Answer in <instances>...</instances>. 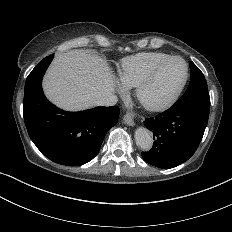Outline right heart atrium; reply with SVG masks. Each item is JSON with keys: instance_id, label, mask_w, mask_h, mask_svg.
<instances>
[{"instance_id": "obj_1", "label": "right heart atrium", "mask_w": 232, "mask_h": 232, "mask_svg": "<svg viewBox=\"0 0 232 232\" xmlns=\"http://www.w3.org/2000/svg\"><path fill=\"white\" fill-rule=\"evenodd\" d=\"M118 88H121L120 86H118ZM113 89H114V85H113Z\"/></svg>"}]
</instances>
